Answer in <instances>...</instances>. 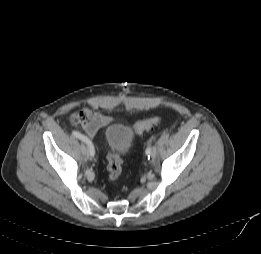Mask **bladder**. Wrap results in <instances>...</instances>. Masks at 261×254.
Instances as JSON below:
<instances>
[{
  "label": "bladder",
  "instance_id": "1",
  "mask_svg": "<svg viewBox=\"0 0 261 254\" xmlns=\"http://www.w3.org/2000/svg\"><path fill=\"white\" fill-rule=\"evenodd\" d=\"M105 141L113 152L121 155L131 149L134 142V133L124 124H112L105 132Z\"/></svg>",
  "mask_w": 261,
  "mask_h": 254
}]
</instances>
